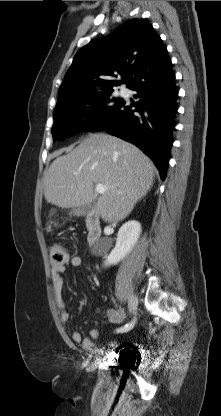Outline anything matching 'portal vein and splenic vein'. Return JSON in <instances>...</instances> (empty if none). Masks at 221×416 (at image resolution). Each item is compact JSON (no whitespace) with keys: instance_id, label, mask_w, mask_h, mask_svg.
<instances>
[{"instance_id":"18ae733b","label":"portal vein and splenic vein","mask_w":221,"mask_h":416,"mask_svg":"<svg viewBox=\"0 0 221 416\" xmlns=\"http://www.w3.org/2000/svg\"><path fill=\"white\" fill-rule=\"evenodd\" d=\"M107 190V187L102 184H97L95 191L99 194H103Z\"/></svg>"}]
</instances>
